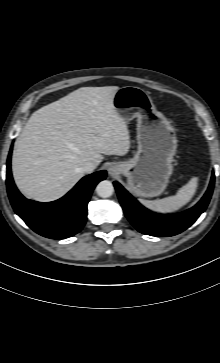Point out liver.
Masks as SVG:
<instances>
[{
    "mask_svg": "<svg viewBox=\"0 0 220 363\" xmlns=\"http://www.w3.org/2000/svg\"><path fill=\"white\" fill-rule=\"evenodd\" d=\"M117 86L81 87L35 111L12 155V172L28 198H61L85 175L86 162L126 155L130 135L113 105Z\"/></svg>",
    "mask_w": 220,
    "mask_h": 363,
    "instance_id": "liver-1",
    "label": "liver"
}]
</instances>
